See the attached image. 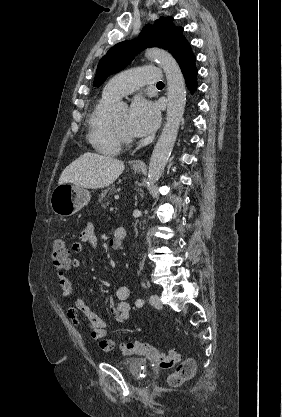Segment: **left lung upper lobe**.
Returning a JSON list of instances; mask_svg holds the SVG:
<instances>
[{"instance_id": "left-lung-upper-lobe-1", "label": "left lung upper lobe", "mask_w": 282, "mask_h": 417, "mask_svg": "<svg viewBox=\"0 0 282 417\" xmlns=\"http://www.w3.org/2000/svg\"><path fill=\"white\" fill-rule=\"evenodd\" d=\"M172 21L170 16L160 17L154 24L146 25L136 39L113 46L99 62L93 86L99 87L109 75L124 69L145 48L160 47L175 56L188 42L182 35L183 29L175 27Z\"/></svg>"}]
</instances>
